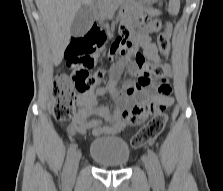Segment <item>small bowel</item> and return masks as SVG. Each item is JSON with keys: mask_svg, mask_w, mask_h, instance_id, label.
<instances>
[{"mask_svg": "<svg viewBox=\"0 0 223 191\" xmlns=\"http://www.w3.org/2000/svg\"><path fill=\"white\" fill-rule=\"evenodd\" d=\"M146 12L151 16L157 15V11L152 7H148ZM142 26L143 30L136 32L124 24L121 27V34L132 38L142 48L144 55L158 64L162 61L153 41V35L160 30L161 22L155 18L145 19L142 21ZM94 27L100 30L98 26ZM128 67L135 70V61L130 60ZM170 93L171 86L167 78L155 77L149 86L142 87L136 86L135 80H128L124 83V91L120 90L118 80L113 79L106 86L96 87L77 97L78 112L66 131L70 136L86 134L88 131L95 137L117 134L127 124L134 126L141 124L153 110L171 105L173 98ZM106 94L111 96L114 102L113 108L99 101V98Z\"/></svg>", "mask_w": 223, "mask_h": 191, "instance_id": "1", "label": "small bowel"}]
</instances>
